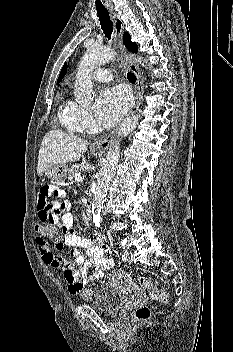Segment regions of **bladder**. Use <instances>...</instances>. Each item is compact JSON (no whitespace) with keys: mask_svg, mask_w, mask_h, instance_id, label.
<instances>
[{"mask_svg":"<svg viewBox=\"0 0 233 352\" xmlns=\"http://www.w3.org/2000/svg\"><path fill=\"white\" fill-rule=\"evenodd\" d=\"M125 304V296L107 282L100 283L94 290L91 306L107 314L116 315Z\"/></svg>","mask_w":233,"mask_h":352,"instance_id":"31cf9c89","label":"bladder"}]
</instances>
